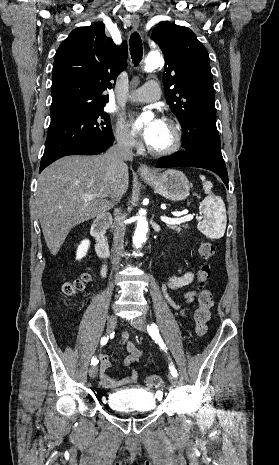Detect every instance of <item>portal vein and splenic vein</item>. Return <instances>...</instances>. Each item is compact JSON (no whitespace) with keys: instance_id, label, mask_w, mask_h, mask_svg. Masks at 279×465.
<instances>
[{"instance_id":"obj_1","label":"portal vein and splenic vein","mask_w":279,"mask_h":465,"mask_svg":"<svg viewBox=\"0 0 279 465\" xmlns=\"http://www.w3.org/2000/svg\"><path fill=\"white\" fill-rule=\"evenodd\" d=\"M98 196H99V194H85V195H83V198L86 201H90V200H92V199H94V198H96ZM101 196L102 197H107L108 195L102 194ZM193 218H194V216L192 214H186L185 216L180 217V218H170V217H167V216H161L162 222H164L166 224H170V225H176V224L189 222V221L193 220ZM198 218H200V217H198Z\"/></svg>"}]
</instances>
